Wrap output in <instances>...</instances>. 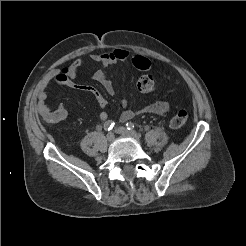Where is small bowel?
I'll return each mask as SVG.
<instances>
[{
    "label": "small bowel",
    "mask_w": 246,
    "mask_h": 246,
    "mask_svg": "<svg viewBox=\"0 0 246 246\" xmlns=\"http://www.w3.org/2000/svg\"><path fill=\"white\" fill-rule=\"evenodd\" d=\"M129 57L130 53L125 49H115L111 52L101 54L92 53L89 55V58L92 61L102 64V66L105 68L112 66L117 62L125 61ZM81 65L82 60L77 59L64 68L54 69L41 81L37 94L36 111L45 122L50 124L59 123L63 121L68 115L67 109L62 105L57 106L54 109H51L47 105V88L52 83L89 92L94 96L97 104L101 108V112L99 114L100 119L103 121H106L108 119V114L105 110L108 102L104 95L94 86L81 85L75 81V78ZM93 79L99 84H101L109 95L114 96L116 94L111 78L106 74V72L103 69L97 70L93 74ZM121 104L124 108L127 106V102L125 100H121ZM168 111L169 104L167 102L156 101L143 107L140 110L125 109L120 115V120L125 122L140 114L162 115L167 113Z\"/></svg>",
    "instance_id": "1"
}]
</instances>
